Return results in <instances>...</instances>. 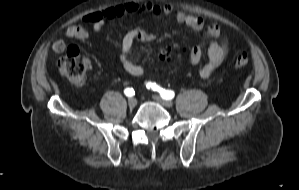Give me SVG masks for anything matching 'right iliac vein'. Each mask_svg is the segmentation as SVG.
<instances>
[{
  "label": "right iliac vein",
  "instance_id": "right-iliac-vein-1",
  "mask_svg": "<svg viewBox=\"0 0 299 190\" xmlns=\"http://www.w3.org/2000/svg\"><path fill=\"white\" fill-rule=\"evenodd\" d=\"M128 105L131 108H134L137 105V99L134 97L129 98Z\"/></svg>",
  "mask_w": 299,
  "mask_h": 190
}]
</instances>
